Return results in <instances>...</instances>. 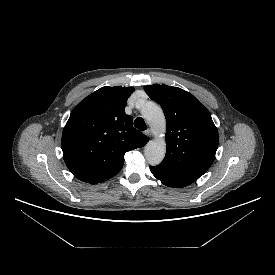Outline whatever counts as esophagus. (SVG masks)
<instances>
[{
    "label": "esophagus",
    "instance_id": "obj_1",
    "mask_svg": "<svg viewBox=\"0 0 275 275\" xmlns=\"http://www.w3.org/2000/svg\"><path fill=\"white\" fill-rule=\"evenodd\" d=\"M145 135H147L148 137H151L152 136L151 130L150 129L146 130Z\"/></svg>",
    "mask_w": 275,
    "mask_h": 275
}]
</instances>
